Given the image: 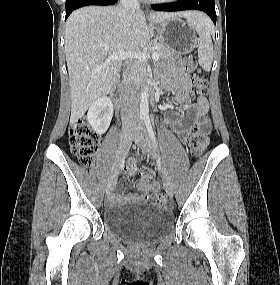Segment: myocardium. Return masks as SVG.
Segmentation results:
<instances>
[{"instance_id": "1", "label": "myocardium", "mask_w": 280, "mask_h": 285, "mask_svg": "<svg viewBox=\"0 0 280 285\" xmlns=\"http://www.w3.org/2000/svg\"><path fill=\"white\" fill-rule=\"evenodd\" d=\"M150 1H152L154 3L166 4V3H172L176 0H150Z\"/></svg>"}]
</instances>
